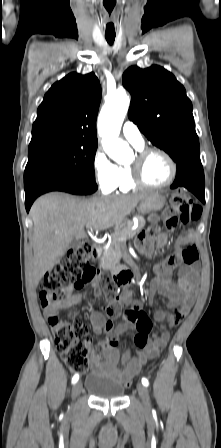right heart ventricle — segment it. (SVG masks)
<instances>
[{"label":"right heart ventricle","instance_id":"1","mask_svg":"<svg viewBox=\"0 0 221 448\" xmlns=\"http://www.w3.org/2000/svg\"><path fill=\"white\" fill-rule=\"evenodd\" d=\"M143 148H139L138 150H142ZM120 178L117 184L116 189L119 192H129L135 190L138 186H136L131 180V173L129 166H120Z\"/></svg>","mask_w":221,"mask_h":448}]
</instances>
